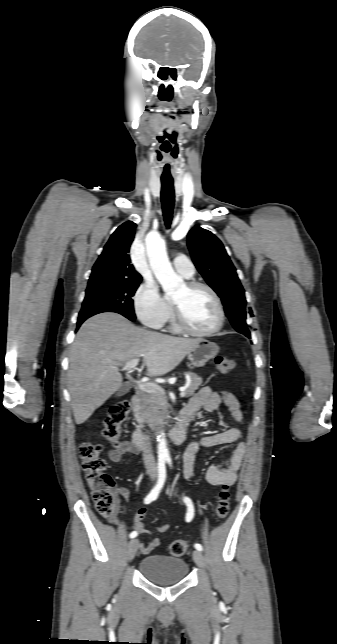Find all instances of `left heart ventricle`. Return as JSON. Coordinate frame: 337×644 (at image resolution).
<instances>
[{"instance_id": "1", "label": "left heart ventricle", "mask_w": 337, "mask_h": 644, "mask_svg": "<svg viewBox=\"0 0 337 644\" xmlns=\"http://www.w3.org/2000/svg\"><path fill=\"white\" fill-rule=\"evenodd\" d=\"M181 308L187 324L196 331H207L215 326L218 310L211 294L203 289L188 290L184 285L172 298Z\"/></svg>"}]
</instances>
